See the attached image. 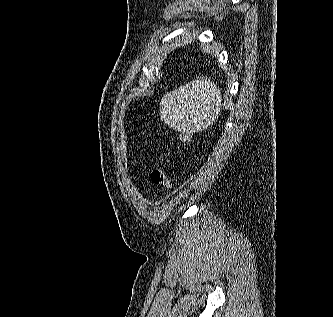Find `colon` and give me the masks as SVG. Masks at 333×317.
<instances>
[{
	"instance_id": "5ec220e1",
	"label": "colon",
	"mask_w": 333,
	"mask_h": 317,
	"mask_svg": "<svg viewBox=\"0 0 333 317\" xmlns=\"http://www.w3.org/2000/svg\"><path fill=\"white\" fill-rule=\"evenodd\" d=\"M192 138V131L185 129L180 131L178 141L181 144L187 143ZM150 179L155 185L161 186L165 190L172 187V181L163 167H156L150 173Z\"/></svg>"
}]
</instances>
